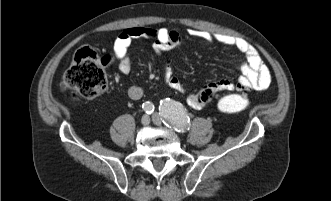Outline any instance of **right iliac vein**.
Returning <instances> with one entry per match:
<instances>
[{
	"label": "right iliac vein",
	"mask_w": 331,
	"mask_h": 201,
	"mask_svg": "<svg viewBox=\"0 0 331 201\" xmlns=\"http://www.w3.org/2000/svg\"><path fill=\"white\" fill-rule=\"evenodd\" d=\"M149 123H150V117L148 115H144L141 118V124L144 126H147V125H149Z\"/></svg>",
	"instance_id": "63e3f726"
}]
</instances>
